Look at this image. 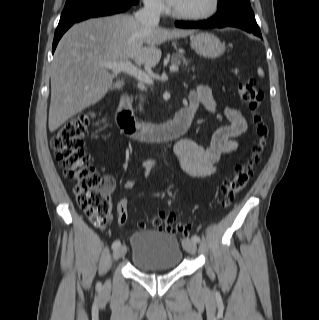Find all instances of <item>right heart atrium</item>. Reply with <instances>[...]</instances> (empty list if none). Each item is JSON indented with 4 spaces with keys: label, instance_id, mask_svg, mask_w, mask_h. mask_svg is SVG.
Segmentation results:
<instances>
[{
    "label": "right heart atrium",
    "instance_id": "d8ad5b80",
    "mask_svg": "<svg viewBox=\"0 0 319 320\" xmlns=\"http://www.w3.org/2000/svg\"><path fill=\"white\" fill-rule=\"evenodd\" d=\"M147 10L153 13L160 14L165 11L163 0H143Z\"/></svg>",
    "mask_w": 319,
    "mask_h": 320
}]
</instances>
